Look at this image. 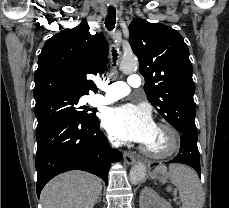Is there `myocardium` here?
<instances>
[{
	"label": "myocardium",
	"instance_id": "1",
	"mask_svg": "<svg viewBox=\"0 0 229 208\" xmlns=\"http://www.w3.org/2000/svg\"><path fill=\"white\" fill-rule=\"evenodd\" d=\"M155 127L166 129L165 131V134L167 135V138L165 139L166 146L172 148L164 153H156L143 145L142 146L143 152L148 157L156 160L167 159L177 154L182 147V136L178 131V129L167 122H159L155 125Z\"/></svg>",
	"mask_w": 229,
	"mask_h": 208
}]
</instances>
